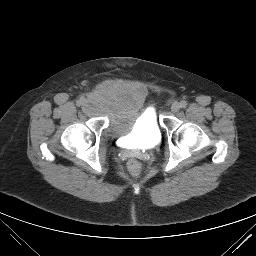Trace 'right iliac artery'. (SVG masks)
<instances>
[{
	"instance_id": "right-iliac-artery-1",
	"label": "right iliac artery",
	"mask_w": 256,
	"mask_h": 256,
	"mask_svg": "<svg viewBox=\"0 0 256 256\" xmlns=\"http://www.w3.org/2000/svg\"><path fill=\"white\" fill-rule=\"evenodd\" d=\"M84 101H85L84 98H80V99L76 102L77 106H81V105L84 103Z\"/></svg>"
}]
</instances>
